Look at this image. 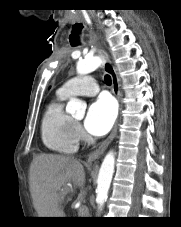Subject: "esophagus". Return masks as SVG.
<instances>
[{"mask_svg":"<svg viewBox=\"0 0 181 227\" xmlns=\"http://www.w3.org/2000/svg\"><path fill=\"white\" fill-rule=\"evenodd\" d=\"M100 55L104 59V63H103L104 70L111 76L112 91H113V94L116 96L117 100L119 101V105H120L119 110L121 112V110H122V102H121L122 95H121V91H120V83H119V79H118L116 70H115L114 66L112 65L110 57L105 50L100 51ZM119 120H120V115L118 116L116 123H115L110 135L107 137V139L104 140L97 149H95L94 151H92L88 155V157H87L88 162L95 161V160H97L101 157V155L106 150V148L109 146V144L112 142L113 138L115 137V135L117 133Z\"/></svg>","mask_w":181,"mask_h":227,"instance_id":"obj_1","label":"esophagus"}]
</instances>
